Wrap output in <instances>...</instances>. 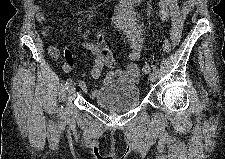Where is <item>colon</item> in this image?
Masks as SVG:
<instances>
[{"label": "colon", "instance_id": "1", "mask_svg": "<svg viewBox=\"0 0 225 159\" xmlns=\"http://www.w3.org/2000/svg\"><path fill=\"white\" fill-rule=\"evenodd\" d=\"M170 49H171L170 41L164 40L161 47V53L162 54L167 53L170 51ZM156 63H158V59H153L151 61L146 62L142 67V72L144 74H148Z\"/></svg>", "mask_w": 225, "mask_h": 159}]
</instances>
